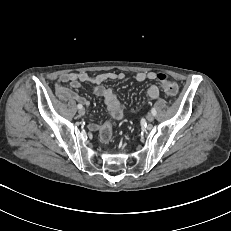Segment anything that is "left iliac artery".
I'll list each match as a JSON object with an SVG mask.
<instances>
[{
    "instance_id": "1",
    "label": "left iliac artery",
    "mask_w": 231,
    "mask_h": 231,
    "mask_svg": "<svg viewBox=\"0 0 231 231\" xmlns=\"http://www.w3.org/2000/svg\"><path fill=\"white\" fill-rule=\"evenodd\" d=\"M151 113H152L154 116L156 115L157 112H156L155 108H152V109H151Z\"/></svg>"
}]
</instances>
